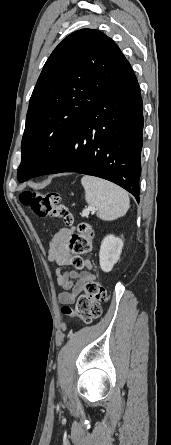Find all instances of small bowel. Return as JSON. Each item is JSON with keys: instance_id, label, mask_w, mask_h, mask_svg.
<instances>
[{"instance_id": "1", "label": "small bowel", "mask_w": 171, "mask_h": 445, "mask_svg": "<svg viewBox=\"0 0 171 445\" xmlns=\"http://www.w3.org/2000/svg\"><path fill=\"white\" fill-rule=\"evenodd\" d=\"M72 233V229L62 228L49 238L47 257L49 262H55L59 265L66 264V260L69 258L68 244ZM85 266L90 268L91 262L86 260ZM94 278V275L88 270L66 271L58 268L56 270V282L64 290L58 295L59 301L65 305L73 304L85 285Z\"/></svg>"}]
</instances>
